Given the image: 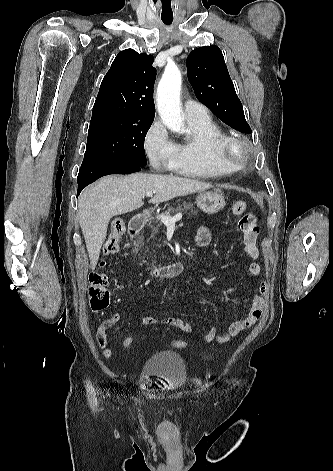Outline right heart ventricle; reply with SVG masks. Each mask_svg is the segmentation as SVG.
<instances>
[{
    "label": "right heart ventricle",
    "mask_w": 333,
    "mask_h": 471,
    "mask_svg": "<svg viewBox=\"0 0 333 471\" xmlns=\"http://www.w3.org/2000/svg\"><path fill=\"white\" fill-rule=\"evenodd\" d=\"M190 136L175 144L170 169L180 175L197 178H216L230 174L236 168L219 156V148L228 137L224 129L206 114L188 119Z\"/></svg>",
    "instance_id": "e07e8e85"
}]
</instances>
